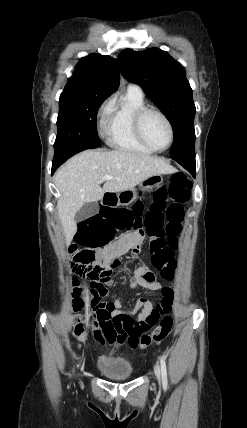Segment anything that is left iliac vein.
<instances>
[{
    "label": "left iliac vein",
    "mask_w": 247,
    "mask_h": 428,
    "mask_svg": "<svg viewBox=\"0 0 247 428\" xmlns=\"http://www.w3.org/2000/svg\"><path fill=\"white\" fill-rule=\"evenodd\" d=\"M154 372H155L157 380H158V382L160 384L161 383V372H160V368H159V366L157 364L154 366Z\"/></svg>",
    "instance_id": "left-iliac-vein-1"
}]
</instances>
